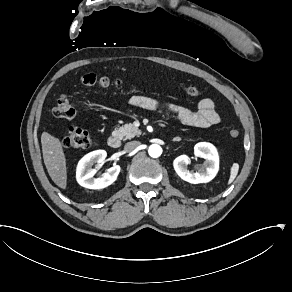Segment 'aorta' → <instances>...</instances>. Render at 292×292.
<instances>
[{
	"mask_svg": "<svg viewBox=\"0 0 292 292\" xmlns=\"http://www.w3.org/2000/svg\"><path fill=\"white\" fill-rule=\"evenodd\" d=\"M148 152L151 157L157 158L161 155L162 148L158 144H152L150 145Z\"/></svg>",
	"mask_w": 292,
	"mask_h": 292,
	"instance_id": "1",
	"label": "aorta"
}]
</instances>
